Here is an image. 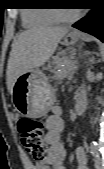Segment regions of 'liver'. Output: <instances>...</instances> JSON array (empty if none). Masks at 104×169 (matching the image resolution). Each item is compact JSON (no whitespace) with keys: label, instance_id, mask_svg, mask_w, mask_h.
Here are the masks:
<instances>
[{"label":"liver","instance_id":"6515ba94","mask_svg":"<svg viewBox=\"0 0 104 169\" xmlns=\"http://www.w3.org/2000/svg\"><path fill=\"white\" fill-rule=\"evenodd\" d=\"M68 32L67 27L41 26L23 31L15 37L6 71L9 93H12L20 75L43 66L53 56Z\"/></svg>","mask_w":104,"mask_h":169}]
</instances>
